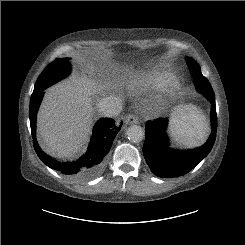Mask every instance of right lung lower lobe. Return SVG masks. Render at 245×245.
<instances>
[{
  "label": "right lung lower lobe",
  "mask_w": 245,
  "mask_h": 245,
  "mask_svg": "<svg viewBox=\"0 0 245 245\" xmlns=\"http://www.w3.org/2000/svg\"><path fill=\"white\" fill-rule=\"evenodd\" d=\"M43 94V90L32 94L29 107L33 146L37 155L48 167L66 174L74 180L84 181L96 177L105 167L107 160L106 155L120 127L115 126L113 119H100L94 126L91 142L84 155L71 162L55 161L43 153L36 140V113Z\"/></svg>",
  "instance_id": "1"
}]
</instances>
